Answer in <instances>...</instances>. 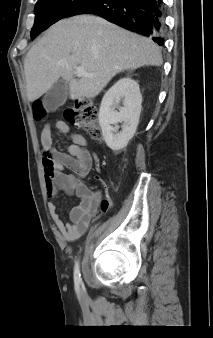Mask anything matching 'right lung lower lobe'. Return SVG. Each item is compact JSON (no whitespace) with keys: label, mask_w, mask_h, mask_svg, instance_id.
<instances>
[{"label":"right lung lower lobe","mask_w":213,"mask_h":338,"mask_svg":"<svg viewBox=\"0 0 213 338\" xmlns=\"http://www.w3.org/2000/svg\"><path fill=\"white\" fill-rule=\"evenodd\" d=\"M96 14L133 32L151 37L163 45L164 11L162 0H92L73 12Z\"/></svg>","instance_id":"right-lung-lower-lobe-1"}]
</instances>
